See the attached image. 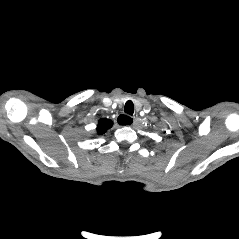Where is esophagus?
I'll return each mask as SVG.
<instances>
[{"instance_id": "34e87169", "label": "esophagus", "mask_w": 239, "mask_h": 239, "mask_svg": "<svg viewBox=\"0 0 239 239\" xmlns=\"http://www.w3.org/2000/svg\"><path fill=\"white\" fill-rule=\"evenodd\" d=\"M120 125H135L137 122V118H130L126 115H120L117 119Z\"/></svg>"}]
</instances>
